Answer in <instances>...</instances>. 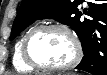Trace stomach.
<instances>
[{"label": "stomach", "instance_id": "stomach-1", "mask_svg": "<svg viewBox=\"0 0 107 75\" xmlns=\"http://www.w3.org/2000/svg\"><path fill=\"white\" fill-rule=\"evenodd\" d=\"M65 75H76V74H74V73H68V74H65Z\"/></svg>", "mask_w": 107, "mask_h": 75}]
</instances>
